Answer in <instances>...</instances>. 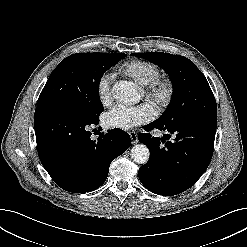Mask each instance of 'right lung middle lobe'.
Listing matches in <instances>:
<instances>
[{"label": "right lung middle lobe", "instance_id": "dd1d6c3e", "mask_svg": "<svg viewBox=\"0 0 247 247\" xmlns=\"http://www.w3.org/2000/svg\"><path fill=\"white\" fill-rule=\"evenodd\" d=\"M124 53H76L65 58L50 74L37 105H57L84 120H97L103 111L98 95L102 75Z\"/></svg>", "mask_w": 247, "mask_h": 247}]
</instances>
